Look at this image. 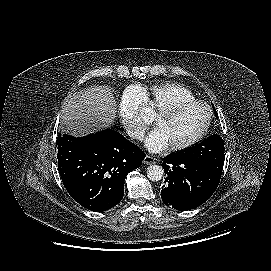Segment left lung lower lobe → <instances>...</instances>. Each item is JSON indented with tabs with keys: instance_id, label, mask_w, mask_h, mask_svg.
Returning <instances> with one entry per match:
<instances>
[{
	"instance_id": "1",
	"label": "left lung lower lobe",
	"mask_w": 271,
	"mask_h": 271,
	"mask_svg": "<svg viewBox=\"0 0 271 271\" xmlns=\"http://www.w3.org/2000/svg\"><path fill=\"white\" fill-rule=\"evenodd\" d=\"M167 175L161 188L165 205L176 210L194 209L207 201L217 189L221 174L192 159L175 153L163 158Z\"/></svg>"
}]
</instances>
